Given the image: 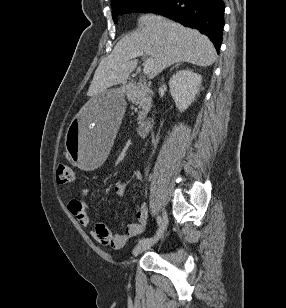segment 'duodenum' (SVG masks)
<instances>
[{"mask_svg":"<svg viewBox=\"0 0 286 308\" xmlns=\"http://www.w3.org/2000/svg\"><path fill=\"white\" fill-rule=\"evenodd\" d=\"M152 124V120L151 119H147L142 121L139 125H138V134L140 136H146L148 133V130L150 128Z\"/></svg>","mask_w":286,"mask_h":308,"instance_id":"duodenum-1","label":"duodenum"}]
</instances>
